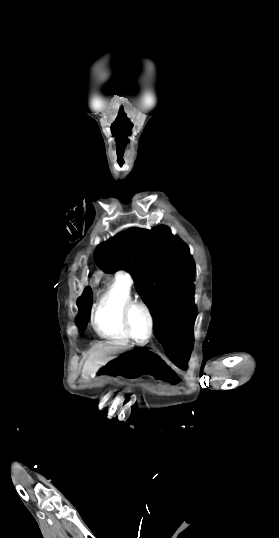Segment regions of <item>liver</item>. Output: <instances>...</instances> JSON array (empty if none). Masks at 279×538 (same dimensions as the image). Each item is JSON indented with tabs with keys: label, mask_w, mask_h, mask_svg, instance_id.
Listing matches in <instances>:
<instances>
[{
	"label": "liver",
	"mask_w": 279,
	"mask_h": 538,
	"mask_svg": "<svg viewBox=\"0 0 279 538\" xmlns=\"http://www.w3.org/2000/svg\"><path fill=\"white\" fill-rule=\"evenodd\" d=\"M122 348L123 346H121V344H117V342H107L104 348H95L90 358L86 360L83 366L84 376H89V374H93V372L99 370L101 366H104L106 362H109V360H113L115 356H111V354H116L117 350H122ZM107 356H111V358H107ZM103 358H107V360H105V362H102Z\"/></svg>",
	"instance_id": "1"
}]
</instances>
